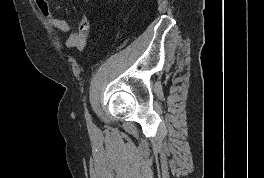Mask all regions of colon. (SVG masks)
Segmentation results:
<instances>
[{"label":"colon","mask_w":264,"mask_h":178,"mask_svg":"<svg viewBox=\"0 0 264 178\" xmlns=\"http://www.w3.org/2000/svg\"><path fill=\"white\" fill-rule=\"evenodd\" d=\"M90 18L87 14L82 16L78 31L69 36L67 46L71 48L84 49L89 42Z\"/></svg>","instance_id":"5ec220e1"}]
</instances>
